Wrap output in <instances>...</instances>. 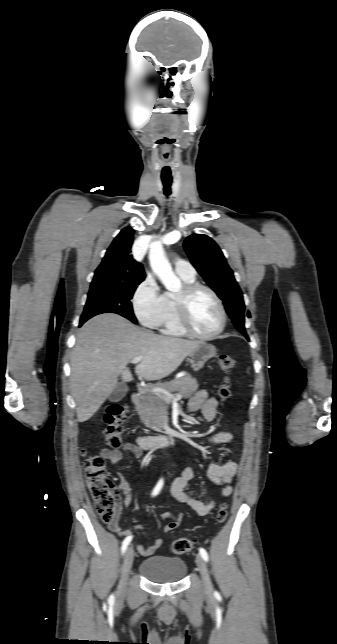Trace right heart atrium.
I'll return each mask as SVG.
<instances>
[{"label":"right heart atrium","mask_w":337,"mask_h":644,"mask_svg":"<svg viewBox=\"0 0 337 644\" xmlns=\"http://www.w3.org/2000/svg\"><path fill=\"white\" fill-rule=\"evenodd\" d=\"M133 308L142 325L157 327L163 313V295L153 277H147L135 290Z\"/></svg>","instance_id":"right-heart-atrium-1"}]
</instances>
